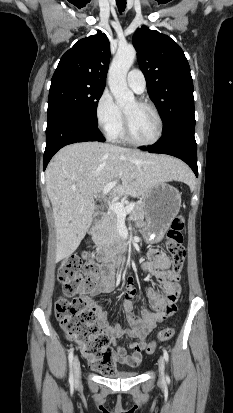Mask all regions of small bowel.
<instances>
[{"label": "small bowel", "mask_w": 233, "mask_h": 413, "mask_svg": "<svg viewBox=\"0 0 233 413\" xmlns=\"http://www.w3.org/2000/svg\"><path fill=\"white\" fill-rule=\"evenodd\" d=\"M149 261L143 265V270L157 277L162 284V289L149 288L147 295L150 301V307H143L139 315L134 313L132 298L135 295V289L132 282L129 281L125 293L123 308L126 313V319L129 325L128 329H123L119 324L113 325L108 321L107 312L96 302L92 296H85L90 309L97 317L98 324L103 332L107 335L114 346L116 362L130 367H136L142 360V351L146 346V337L150 331L166 317L170 316L175 310L169 308L174 306L179 300L180 285L179 276L172 278L169 275L168 268L171 260L167 255L157 249H152L148 254ZM115 286L112 273L102 277L92 295L100 293H110ZM124 336L136 339L130 344L131 353L118 344V340Z\"/></svg>", "instance_id": "c3829d8e"}]
</instances>
